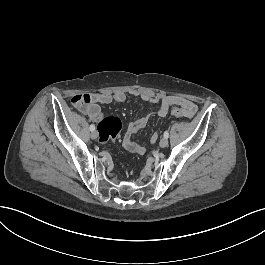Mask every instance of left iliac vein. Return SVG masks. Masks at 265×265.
<instances>
[{"label":"left iliac vein","instance_id":"left-iliac-vein-1","mask_svg":"<svg viewBox=\"0 0 265 265\" xmlns=\"http://www.w3.org/2000/svg\"><path fill=\"white\" fill-rule=\"evenodd\" d=\"M167 145H168V140H167V138H162L161 140H160V142H159V146L160 147H162V148H165V147H167Z\"/></svg>","mask_w":265,"mask_h":265}]
</instances>
